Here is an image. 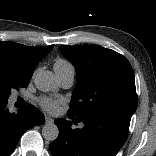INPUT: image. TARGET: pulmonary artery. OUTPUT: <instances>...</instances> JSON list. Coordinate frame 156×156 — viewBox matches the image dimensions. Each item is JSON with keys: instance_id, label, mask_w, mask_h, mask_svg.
Instances as JSON below:
<instances>
[{"instance_id": "e3ab8cb5", "label": "pulmonary artery", "mask_w": 156, "mask_h": 156, "mask_svg": "<svg viewBox=\"0 0 156 156\" xmlns=\"http://www.w3.org/2000/svg\"><path fill=\"white\" fill-rule=\"evenodd\" d=\"M54 70L58 76V79L61 83V85L64 88H69L72 86L75 78V69L73 66L65 67L62 69H59L54 65Z\"/></svg>"}]
</instances>
